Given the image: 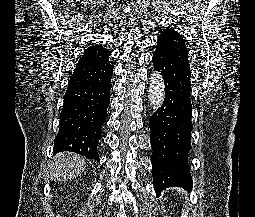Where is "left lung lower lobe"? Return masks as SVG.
Masks as SVG:
<instances>
[{"instance_id":"obj_1","label":"left lung lower lobe","mask_w":255,"mask_h":217,"mask_svg":"<svg viewBox=\"0 0 255 217\" xmlns=\"http://www.w3.org/2000/svg\"><path fill=\"white\" fill-rule=\"evenodd\" d=\"M152 62L165 84L164 102L149 120L154 188L156 193L173 186L190 188L188 153L193 126L189 61L157 46Z\"/></svg>"}]
</instances>
